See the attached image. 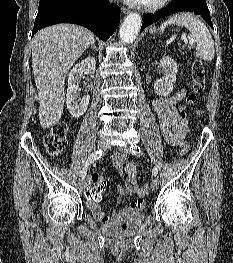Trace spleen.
<instances>
[{
	"label": "spleen",
	"mask_w": 233,
	"mask_h": 263,
	"mask_svg": "<svg viewBox=\"0 0 233 263\" xmlns=\"http://www.w3.org/2000/svg\"><path fill=\"white\" fill-rule=\"evenodd\" d=\"M171 24L185 27L190 31L191 40L197 44L195 54L197 57L204 61L213 60L215 54L214 42L209 30L200 19L188 12L175 14L161 25L160 31L163 32Z\"/></svg>",
	"instance_id": "1"
}]
</instances>
